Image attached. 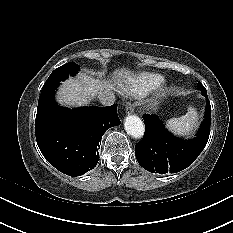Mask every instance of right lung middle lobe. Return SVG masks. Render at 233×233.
Returning a JSON list of instances; mask_svg holds the SVG:
<instances>
[{"label": "right lung middle lobe", "mask_w": 233, "mask_h": 233, "mask_svg": "<svg viewBox=\"0 0 233 233\" xmlns=\"http://www.w3.org/2000/svg\"><path fill=\"white\" fill-rule=\"evenodd\" d=\"M79 71V66L74 62L66 63L55 69L43 86L38 101L37 113H40L54 104V93L61 81L69 76H74Z\"/></svg>", "instance_id": "right-lung-middle-lobe-1"}]
</instances>
